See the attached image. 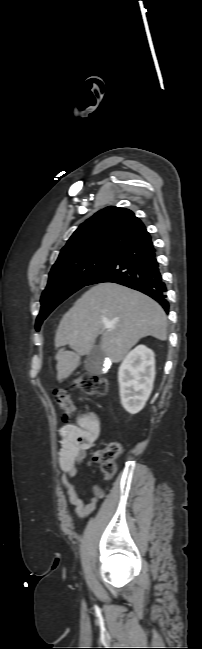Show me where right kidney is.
<instances>
[{
  "instance_id": "right-kidney-1",
  "label": "right kidney",
  "mask_w": 202,
  "mask_h": 649,
  "mask_svg": "<svg viewBox=\"0 0 202 649\" xmlns=\"http://www.w3.org/2000/svg\"><path fill=\"white\" fill-rule=\"evenodd\" d=\"M155 378L154 352L144 345L131 350L118 370L121 403L130 414L141 411L148 400Z\"/></svg>"
}]
</instances>
